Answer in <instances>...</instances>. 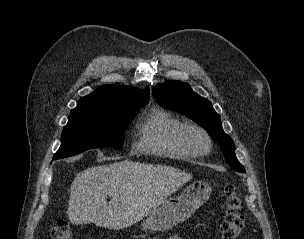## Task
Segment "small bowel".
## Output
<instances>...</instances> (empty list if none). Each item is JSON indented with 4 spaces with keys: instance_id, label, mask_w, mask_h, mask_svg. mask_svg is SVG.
<instances>
[{
    "instance_id": "small-bowel-1",
    "label": "small bowel",
    "mask_w": 304,
    "mask_h": 239,
    "mask_svg": "<svg viewBox=\"0 0 304 239\" xmlns=\"http://www.w3.org/2000/svg\"><path fill=\"white\" fill-rule=\"evenodd\" d=\"M169 239H182L179 235H173Z\"/></svg>"
}]
</instances>
